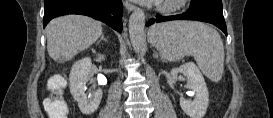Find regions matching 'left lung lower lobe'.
Returning <instances> with one entry per match:
<instances>
[{
    "label": "left lung lower lobe",
    "mask_w": 273,
    "mask_h": 118,
    "mask_svg": "<svg viewBox=\"0 0 273 118\" xmlns=\"http://www.w3.org/2000/svg\"><path fill=\"white\" fill-rule=\"evenodd\" d=\"M172 20H197L202 22H207L214 24L218 28H220L227 35V28L225 24V20L223 14L213 12L208 9L202 8H193L190 7L185 13L171 16H159L157 15L155 18H152L147 23V26L153 24L154 22L160 23L165 21Z\"/></svg>",
    "instance_id": "left-lung-lower-lobe-1"
}]
</instances>
